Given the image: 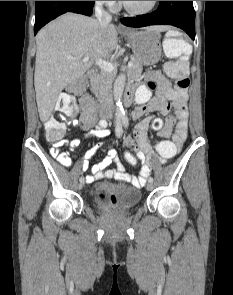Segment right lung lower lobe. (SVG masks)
Segmentation results:
<instances>
[{"label":"right lung lower lobe","instance_id":"98d812e1","mask_svg":"<svg viewBox=\"0 0 233 295\" xmlns=\"http://www.w3.org/2000/svg\"><path fill=\"white\" fill-rule=\"evenodd\" d=\"M94 1H36L34 34L57 16L66 12H75L90 16Z\"/></svg>","mask_w":233,"mask_h":295}]
</instances>
